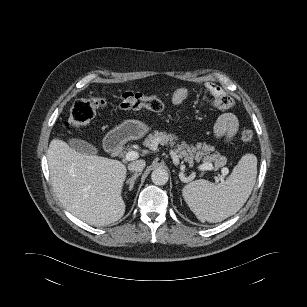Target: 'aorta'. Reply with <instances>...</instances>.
I'll use <instances>...</instances> for the list:
<instances>
[{
  "label": "aorta",
  "instance_id": "obj_1",
  "mask_svg": "<svg viewBox=\"0 0 307 307\" xmlns=\"http://www.w3.org/2000/svg\"><path fill=\"white\" fill-rule=\"evenodd\" d=\"M168 179V171L161 167L154 169L151 174V180L155 185H165Z\"/></svg>",
  "mask_w": 307,
  "mask_h": 307
}]
</instances>
